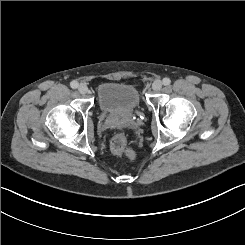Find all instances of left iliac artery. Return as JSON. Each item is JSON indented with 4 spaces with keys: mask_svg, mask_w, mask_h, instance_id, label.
<instances>
[{
    "mask_svg": "<svg viewBox=\"0 0 245 245\" xmlns=\"http://www.w3.org/2000/svg\"><path fill=\"white\" fill-rule=\"evenodd\" d=\"M162 82H163V84H164L165 86H167V85H169V84L171 83V80H170L169 78H164V79L162 80Z\"/></svg>",
    "mask_w": 245,
    "mask_h": 245,
    "instance_id": "obj_1",
    "label": "left iliac artery"
}]
</instances>
